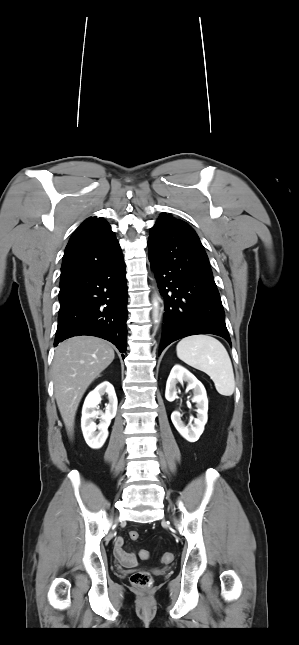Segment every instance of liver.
Here are the masks:
<instances>
[{"instance_id": "liver-1", "label": "liver", "mask_w": 299, "mask_h": 645, "mask_svg": "<svg viewBox=\"0 0 299 645\" xmlns=\"http://www.w3.org/2000/svg\"><path fill=\"white\" fill-rule=\"evenodd\" d=\"M112 346L97 337L77 336L55 349L54 393L58 409L70 436L80 400L89 385L114 360Z\"/></svg>"}]
</instances>
